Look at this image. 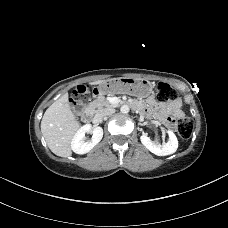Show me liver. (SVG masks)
I'll return each mask as SVG.
<instances>
[{"mask_svg":"<svg viewBox=\"0 0 228 228\" xmlns=\"http://www.w3.org/2000/svg\"><path fill=\"white\" fill-rule=\"evenodd\" d=\"M102 82L103 80L90 84L97 85ZM79 127L80 124L68 105L67 93L45 111L41 121V132L49 149L60 157L72 155L71 141Z\"/></svg>","mask_w":228,"mask_h":228,"instance_id":"obj_1","label":"liver"}]
</instances>
